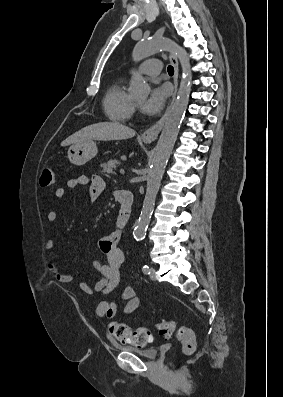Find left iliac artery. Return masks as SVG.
Segmentation results:
<instances>
[{"instance_id":"left-iliac-artery-1","label":"left iliac artery","mask_w":283,"mask_h":397,"mask_svg":"<svg viewBox=\"0 0 283 397\" xmlns=\"http://www.w3.org/2000/svg\"><path fill=\"white\" fill-rule=\"evenodd\" d=\"M142 271H143L144 274H150V270H149V267L147 265H143Z\"/></svg>"}]
</instances>
